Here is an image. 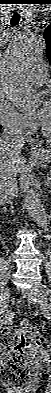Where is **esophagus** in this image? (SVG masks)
I'll return each mask as SVG.
<instances>
[{
	"label": "esophagus",
	"mask_w": 51,
	"mask_h": 393,
	"mask_svg": "<svg viewBox=\"0 0 51 393\" xmlns=\"http://www.w3.org/2000/svg\"><path fill=\"white\" fill-rule=\"evenodd\" d=\"M40 147H41L40 143H34V144L32 145L31 152H32V153L38 152V151L40 150Z\"/></svg>",
	"instance_id": "34e87169"
}]
</instances>
